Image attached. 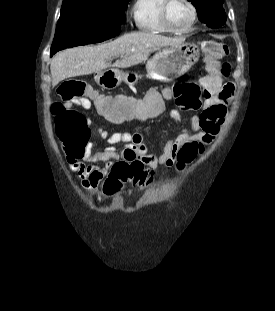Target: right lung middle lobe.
Masks as SVG:
<instances>
[{
    "mask_svg": "<svg viewBox=\"0 0 275 311\" xmlns=\"http://www.w3.org/2000/svg\"><path fill=\"white\" fill-rule=\"evenodd\" d=\"M130 0H63L50 54L98 43L124 20Z\"/></svg>",
    "mask_w": 275,
    "mask_h": 311,
    "instance_id": "1",
    "label": "right lung middle lobe"
}]
</instances>
